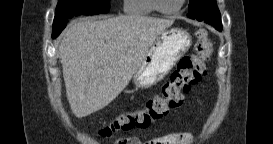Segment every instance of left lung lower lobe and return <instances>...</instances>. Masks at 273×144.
I'll return each instance as SVG.
<instances>
[{"instance_id":"1","label":"left lung lower lobe","mask_w":273,"mask_h":144,"mask_svg":"<svg viewBox=\"0 0 273 144\" xmlns=\"http://www.w3.org/2000/svg\"><path fill=\"white\" fill-rule=\"evenodd\" d=\"M196 20L198 21H205L206 23L213 25L217 30H222V24H221V17L219 10H208L207 12H203L201 15H199Z\"/></svg>"}]
</instances>
